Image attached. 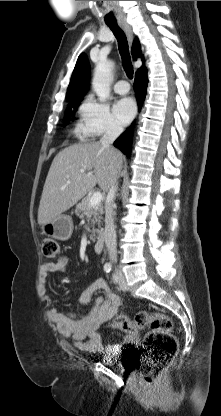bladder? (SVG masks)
I'll list each match as a JSON object with an SVG mask.
<instances>
[{"mask_svg": "<svg viewBox=\"0 0 221 416\" xmlns=\"http://www.w3.org/2000/svg\"><path fill=\"white\" fill-rule=\"evenodd\" d=\"M113 357H115V355L114 354H110V353H106V354H104V363L105 364H111V363H113ZM114 366H117L116 364H114Z\"/></svg>", "mask_w": 221, "mask_h": 416, "instance_id": "31cf9c89", "label": "bladder"}]
</instances>
